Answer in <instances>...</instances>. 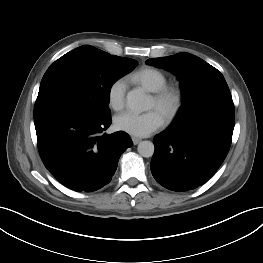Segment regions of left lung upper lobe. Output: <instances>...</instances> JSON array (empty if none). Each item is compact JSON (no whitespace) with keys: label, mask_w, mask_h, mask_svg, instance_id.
Here are the masks:
<instances>
[{"label":"left lung upper lobe","mask_w":263,"mask_h":263,"mask_svg":"<svg viewBox=\"0 0 263 263\" xmlns=\"http://www.w3.org/2000/svg\"><path fill=\"white\" fill-rule=\"evenodd\" d=\"M146 63L171 71L180 80L183 104L175 121L190 120L217 109H234L223 75L199 57L183 52L151 58Z\"/></svg>","instance_id":"1"}]
</instances>
